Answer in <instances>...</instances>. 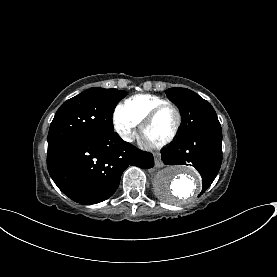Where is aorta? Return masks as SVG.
I'll return each instance as SVG.
<instances>
[{
    "label": "aorta",
    "mask_w": 277,
    "mask_h": 277,
    "mask_svg": "<svg viewBox=\"0 0 277 277\" xmlns=\"http://www.w3.org/2000/svg\"><path fill=\"white\" fill-rule=\"evenodd\" d=\"M154 186L159 197L171 204L184 203L202 189L199 174L192 168L171 166L162 169L155 177Z\"/></svg>",
    "instance_id": "1"
}]
</instances>
